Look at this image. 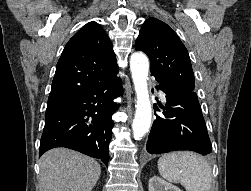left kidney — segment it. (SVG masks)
Masks as SVG:
<instances>
[{"label": "left kidney", "instance_id": "5707ae66", "mask_svg": "<svg viewBox=\"0 0 251 191\" xmlns=\"http://www.w3.org/2000/svg\"><path fill=\"white\" fill-rule=\"evenodd\" d=\"M149 191H182L173 183H169V181H165V179H161L158 175H153L151 179H149Z\"/></svg>", "mask_w": 251, "mask_h": 191}]
</instances>
